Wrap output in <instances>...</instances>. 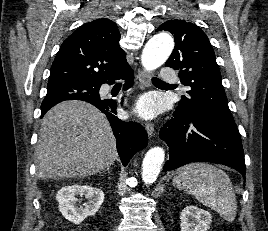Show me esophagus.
<instances>
[{
	"label": "esophagus",
	"instance_id": "esophagus-1",
	"mask_svg": "<svg viewBox=\"0 0 268 231\" xmlns=\"http://www.w3.org/2000/svg\"><path fill=\"white\" fill-rule=\"evenodd\" d=\"M137 82H138V87L140 89H142V90L145 89L146 87L149 86V75L142 70H138ZM145 129H146L149 137H152L154 135V124L153 123L146 122Z\"/></svg>",
	"mask_w": 268,
	"mask_h": 231
}]
</instances>
